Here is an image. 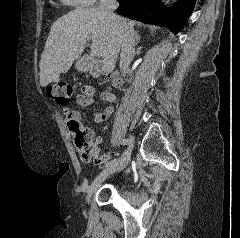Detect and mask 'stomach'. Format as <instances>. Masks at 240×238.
Wrapping results in <instances>:
<instances>
[{
    "instance_id": "obj_1",
    "label": "stomach",
    "mask_w": 240,
    "mask_h": 238,
    "mask_svg": "<svg viewBox=\"0 0 240 238\" xmlns=\"http://www.w3.org/2000/svg\"><path fill=\"white\" fill-rule=\"evenodd\" d=\"M76 67L78 70L80 71H84L87 69L88 65L86 62H84L83 60H79L77 63H76Z\"/></svg>"
}]
</instances>
